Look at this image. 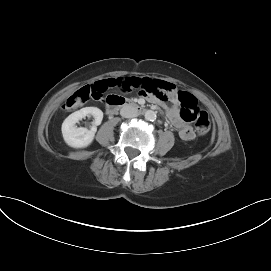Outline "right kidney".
<instances>
[{
  "label": "right kidney",
  "instance_id": "obj_1",
  "mask_svg": "<svg viewBox=\"0 0 271 271\" xmlns=\"http://www.w3.org/2000/svg\"><path fill=\"white\" fill-rule=\"evenodd\" d=\"M86 116H93V126L90 130L84 127H77L76 123ZM103 119V112L97 107H85L70 114L62 124L64 141L73 148H84L90 145L94 139L96 126L100 125Z\"/></svg>",
  "mask_w": 271,
  "mask_h": 271
}]
</instances>
